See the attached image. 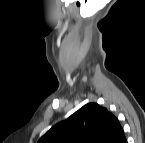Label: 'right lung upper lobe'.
<instances>
[{"mask_svg": "<svg viewBox=\"0 0 145 143\" xmlns=\"http://www.w3.org/2000/svg\"><path fill=\"white\" fill-rule=\"evenodd\" d=\"M38 143H127V140L113 114L89 103L54 125Z\"/></svg>", "mask_w": 145, "mask_h": 143, "instance_id": "cb5924a9", "label": "right lung upper lobe"}]
</instances>
